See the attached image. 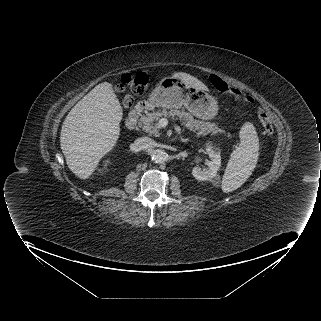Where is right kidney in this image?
I'll use <instances>...</instances> for the list:
<instances>
[{"instance_id": "ca27d5eb", "label": "right kidney", "mask_w": 321, "mask_h": 321, "mask_svg": "<svg viewBox=\"0 0 321 321\" xmlns=\"http://www.w3.org/2000/svg\"><path fill=\"white\" fill-rule=\"evenodd\" d=\"M108 163H109V161H108V160H106V162H105V166H106Z\"/></svg>"}]
</instances>
